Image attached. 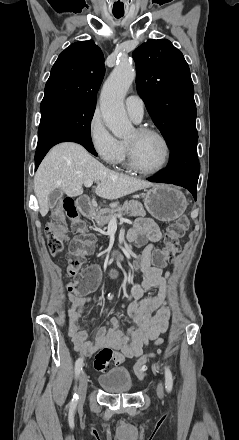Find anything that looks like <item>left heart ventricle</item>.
<instances>
[{"mask_svg": "<svg viewBox=\"0 0 239 440\" xmlns=\"http://www.w3.org/2000/svg\"><path fill=\"white\" fill-rule=\"evenodd\" d=\"M133 147L139 165L146 170L159 168L165 160V146L153 134H140L136 129L126 138Z\"/></svg>", "mask_w": 239, "mask_h": 440, "instance_id": "obj_1", "label": "left heart ventricle"}]
</instances>
